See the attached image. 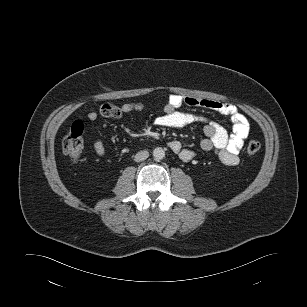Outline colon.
Returning a JSON list of instances; mask_svg holds the SVG:
<instances>
[{"mask_svg": "<svg viewBox=\"0 0 307 307\" xmlns=\"http://www.w3.org/2000/svg\"><path fill=\"white\" fill-rule=\"evenodd\" d=\"M83 133L84 125L82 122H75L70 131L63 139L62 147L63 152L72 160H77L83 150ZM260 149V143L256 140H250L247 143L246 151L248 154H256Z\"/></svg>", "mask_w": 307, "mask_h": 307, "instance_id": "obj_1", "label": "colon"}]
</instances>
